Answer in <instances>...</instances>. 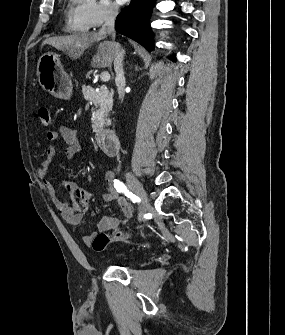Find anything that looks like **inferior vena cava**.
Segmentation results:
<instances>
[{
    "instance_id": "obj_1",
    "label": "inferior vena cava",
    "mask_w": 285,
    "mask_h": 335,
    "mask_svg": "<svg viewBox=\"0 0 285 335\" xmlns=\"http://www.w3.org/2000/svg\"><path fill=\"white\" fill-rule=\"evenodd\" d=\"M105 24L102 26L99 34H110L112 38H115V18L118 14V4H113V2H107L105 6ZM113 48L116 50V56L114 58V68L116 72V86L118 90V98L121 100L124 96L125 88V78L123 72V60H124V50H122L118 42H112Z\"/></svg>"
}]
</instances>
